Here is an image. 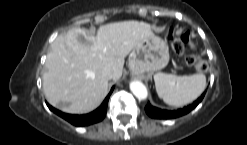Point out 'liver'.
Returning a JSON list of instances; mask_svg holds the SVG:
<instances>
[{"instance_id":"obj_1","label":"liver","mask_w":247,"mask_h":145,"mask_svg":"<svg viewBox=\"0 0 247 145\" xmlns=\"http://www.w3.org/2000/svg\"><path fill=\"white\" fill-rule=\"evenodd\" d=\"M153 35L151 26L134 20L101 26L97 35L72 28L59 35L47 54L43 91L54 107L72 114L97 108L108 93L109 68L113 80L122 76L124 59L144 38Z\"/></svg>"}]
</instances>
